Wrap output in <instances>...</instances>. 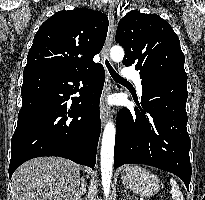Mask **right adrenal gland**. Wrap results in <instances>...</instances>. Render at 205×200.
<instances>
[{"instance_id": "2a0ac1e0", "label": "right adrenal gland", "mask_w": 205, "mask_h": 200, "mask_svg": "<svg viewBox=\"0 0 205 200\" xmlns=\"http://www.w3.org/2000/svg\"><path fill=\"white\" fill-rule=\"evenodd\" d=\"M85 193H86V183L84 179L81 178V189L76 200H82L81 197L85 195Z\"/></svg>"}]
</instances>
